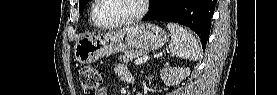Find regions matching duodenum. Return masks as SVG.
I'll list each match as a JSON object with an SVG mask.
<instances>
[{
	"label": "duodenum",
	"mask_w": 277,
	"mask_h": 95,
	"mask_svg": "<svg viewBox=\"0 0 277 95\" xmlns=\"http://www.w3.org/2000/svg\"><path fill=\"white\" fill-rule=\"evenodd\" d=\"M131 83H132V84H135L134 80H131ZM136 94H139V93H136Z\"/></svg>",
	"instance_id": "obj_1"
}]
</instances>
